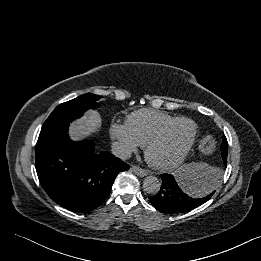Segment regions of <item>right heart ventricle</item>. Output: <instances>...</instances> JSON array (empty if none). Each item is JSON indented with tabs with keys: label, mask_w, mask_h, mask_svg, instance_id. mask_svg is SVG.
<instances>
[{
	"label": "right heart ventricle",
	"mask_w": 261,
	"mask_h": 261,
	"mask_svg": "<svg viewBox=\"0 0 261 261\" xmlns=\"http://www.w3.org/2000/svg\"><path fill=\"white\" fill-rule=\"evenodd\" d=\"M176 118L162 111L140 109L126 117L125 125L138 144L144 146L160 128Z\"/></svg>",
	"instance_id": "obj_1"
}]
</instances>
